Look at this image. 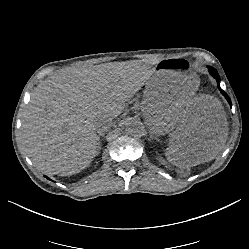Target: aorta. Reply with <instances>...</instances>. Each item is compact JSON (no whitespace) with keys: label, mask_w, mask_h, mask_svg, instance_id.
<instances>
[{"label":"aorta","mask_w":249,"mask_h":249,"mask_svg":"<svg viewBox=\"0 0 249 249\" xmlns=\"http://www.w3.org/2000/svg\"><path fill=\"white\" fill-rule=\"evenodd\" d=\"M143 130V125L141 122L135 119H130L126 123V131L130 135H140Z\"/></svg>","instance_id":"1"}]
</instances>
